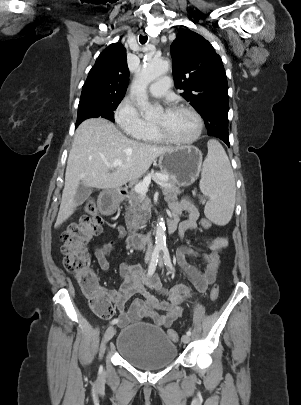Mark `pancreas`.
<instances>
[{"label": "pancreas", "instance_id": "obj_1", "mask_svg": "<svg viewBox=\"0 0 301 405\" xmlns=\"http://www.w3.org/2000/svg\"><path fill=\"white\" fill-rule=\"evenodd\" d=\"M166 175V174H163ZM168 176V175H166ZM164 198L166 201L177 200L178 195L181 193L178 187H176L171 178L168 176V180L160 184ZM129 207L125 214L126 226L129 232H136L142 229L146 223V218L143 215V210L149 209V199L146 197L144 203H141L142 196L137 193L134 188L128 194Z\"/></svg>", "mask_w": 301, "mask_h": 405}]
</instances>
